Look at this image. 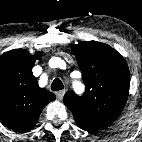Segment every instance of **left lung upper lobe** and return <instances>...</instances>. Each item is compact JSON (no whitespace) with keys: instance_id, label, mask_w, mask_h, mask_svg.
<instances>
[{"instance_id":"5c2ea615","label":"left lung upper lobe","mask_w":142,"mask_h":142,"mask_svg":"<svg viewBox=\"0 0 142 142\" xmlns=\"http://www.w3.org/2000/svg\"><path fill=\"white\" fill-rule=\"evenodd\" d=\"M82 71L86 91H68L64 104L77 125L88 132L110 126L120 115L129 93L130 73L124 58L112 47L97 41L71 46Z\"/></svg>"}]
</instances>
